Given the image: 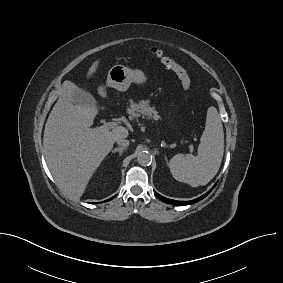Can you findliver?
Here are the masks:
<instances>
[{
  "instance_id": "obj_1",
  "label": "liver",
  "mask_w": 283,
  "mask_h": 283,
  "mask_svg": "<svg viewBox=\"0 0 283 283\" xmlns=\"http://www.w3.org/2000/svg\"><path fill=\"white\" fill-rule=\"evenodd\" d=\"M95 61L87 78L97 70ZM68 82L54 105L45 125L43 148L50 172L60 190L72 200H79L88 182L118 138L129 133L123 126L100 131L90 128L98 114V107L74 105V95L79 91Z\"/></svg>"
}]
</instances>
